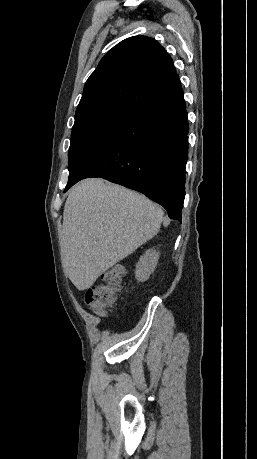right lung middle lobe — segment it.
<instances>
[{"instance_id":"1","label":"right lung middle lobe","mask_w":257,"mask_h":459,"mask_svg":"<svg viewBox=\"0 0 257 459\" xmlns=\"http://www.w3.org/2000/svg\"><path fill=\"white\" fill-rule=\"evenodd\" d=\"M135 111L124 106H109L76 117L68 154L69 177L103 149Z\"/></svg>"}]
</instances>
